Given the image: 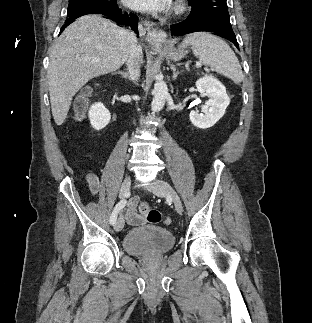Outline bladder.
<instances>
[{
  "label": "bladder",
  "mask_w": 312,
  "mask_h": 323,
  "mask_svg": "<svg viewBox=\"0 0 312 323\" xmlns=\"http://www.w3.org/2000/svg\"><path fill=\"white\" fill-rule=\"evenodd\" d=\"M174 238L169 231L158 227H140L131 229L124 240V251L134 257L150 253H162L171 249Z\"/></svg>",
  "instance_id": "obj_1"
}]
</instances>
